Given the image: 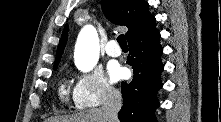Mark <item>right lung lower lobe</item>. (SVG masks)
<instances>
[{
  "instance_id": "98d812e1",
  "label": "right lung lower lobe",
  "mask_w": 221,
  "mask_h": 122,
  "mask_svg": "<svg viewBox=\"0 0 221 122\" xmlns=\"http://www.w3.org/2000/svg\"><path fill=\"white\" fill-rule=\"evenodd\" d=\"M160 33L152 24L140 35L128 40L130 53L127 64L134 70L130 83L122 82L123 106L118 113L121 122H156L154 111L159 102L157 91L162 87L160 74L163 49Z\"/></svg>"
}]
</instances>
